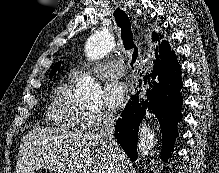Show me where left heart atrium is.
I'll return each instance as SVG.
<instances>
[{
  "label": "left heart atrium",
  "mask_w": 219,
  "mask_h": 173,
  "mask_svg": "<svg viewBox=\"0 0 219 173\" xmlns=\"http://www.w3.org/2000/svg\"><path fill=\"white\" fill-rule=\"evenodd\" d=\"M129 95L128 87L121 81H112L106 85L104 102L110 109L121 107Z\"/></svg>",
  "instance_id": "left-heart-atrium-1"
}]
</instances>
